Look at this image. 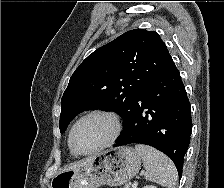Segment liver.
<instances>
[{
	"label": "liver",
	"mask_w": 224,
	"mask_h": 188,
	"mask_svg": "<svg viewBox=\"0 0 224 188\" xmlns=\"http://www.w3.org/2000/svg\"><path fill=\"white\" fill-rule=\"evenodd\" d=\"M93 158H94V157H89V158L83 159V160H81V161H78V162H76V163L70 165L69 167H66V168L62 169L61 171H67V170L76 169V168H78V167H80V166H83V165H85V164L90 163V162L93 160Z\"/></svg>",
	"instance_id": "liver-1"
}]
</instances>
